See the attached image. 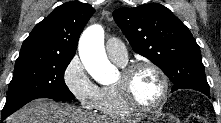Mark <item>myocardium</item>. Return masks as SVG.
<instances>
[{"mask_svg":"<svg viewBox=\"0 0 221 123\" xmlns=\"http://www.w3.org/2000/svg\"><path fill=\"white\" fill-rule=\"evenodd\" d=\"M142 68L154 70L160 77L162 83V93L158 101L153 105H142L133 97L130 89L131 77ZM124 104L132 111L151 112L161 108L167 101L169 95V80L163 69L151 61H140L124 67L121 71V81L115 85Z\"/></svg>","mask_w":221,"mask_h":123,"instance_id":"myocardium-1","label":"myocardium"}]
</instances>
